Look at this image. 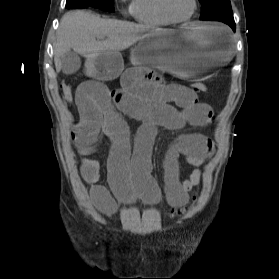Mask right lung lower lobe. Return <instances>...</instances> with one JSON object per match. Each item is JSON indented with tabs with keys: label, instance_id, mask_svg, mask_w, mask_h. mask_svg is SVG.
<instances>
[{
	"label": "right lung lower lobe",
	"instance_id": "98d812e1",
	"mask_svg": "<svg viewBox=\"0 0 279 279\" xmlns=\"http://www.w3.org/2000/svg\"><path fill=\"white\" fill-rule=\"evenodd\" d=\"M89 7L88 5H84V4H73L67 8H72V9H81V8H87Z\"/></svg>",
	"mask_w": 279,
	"mask_h": 279
}]
</instances>
